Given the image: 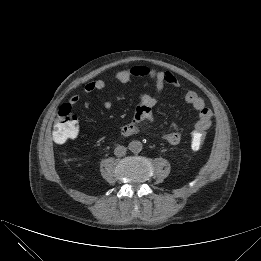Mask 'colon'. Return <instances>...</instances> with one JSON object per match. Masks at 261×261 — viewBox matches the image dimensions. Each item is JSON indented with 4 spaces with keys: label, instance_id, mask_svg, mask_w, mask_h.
<instances>
[{
    "label": "colon",
    "instance_id": "1",
    "mask_svg": "<svg viewBox=\"0 0 261 261\" xmlns=\"http://www.w3.org/2000/svg\"><path fill=\"white\" fill-rule=\"evenodd\" d=\"M78 134L77 118L72 113L71 106L62 105L53 124L52 137L56 143H64L67 140L76 137ZM206 139V131H197L191 135L190 145L192 149H200Z\"/></svg>",
    "mask_w": 261,
    "mask_h": 261
}]
</instances>
